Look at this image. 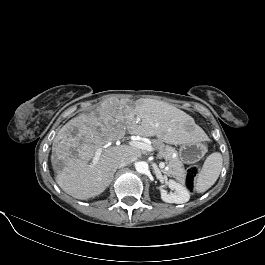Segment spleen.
Returning <instances> with one entry per match:
<instances>
[{
  "mask_svg": "<svg viewBox=\"0 0 265 265\" xmlns=\"http://www.w3.org/2000/svg\"><path fill=\"white\" fill-rule=\"evenodd\" d=\"M222 164V155L218 152H214L207 157L195 184V190L198 193H203L214 185L220 175Z\"/></svg>",
  "mask_w": 265,
  "mask_h": 265,
  "instance_id": "1",
  "label": "spleen"
}]
</instances>
